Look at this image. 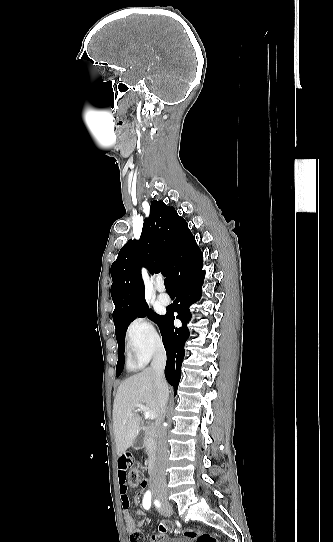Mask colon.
<instances>
[{
	"instance_id": "obj_1",
	"label": "colon",
	"mask_w": 333,
	"mask_h": 542,
	"mask_svg": "<svg viewBox=\"0 0 333 542\" xmlns=\"http://www.w3.org/2000/svg\"><path fill=\"white\" fill-rule=\"evenodd\" d=\"M132 455V453H131ZM133 459V456H132ZM128 483L132 487H141L145 481L146 478L144 477L142 471L139 467H137L132 462L131 467V476L128 477ZM159 531L161 533H165L168 531V525L165 522L160 523L159 525ZM172 533H175L174 529H170ZM185 539L188 541H195V542H225V540L222 537L217 538L215 535H213L210 532H199L195 529H189L182 532ZM148 536L143 531H134L132 533V539H130V542H147Z\"/></svg>"
}]
</instances>
